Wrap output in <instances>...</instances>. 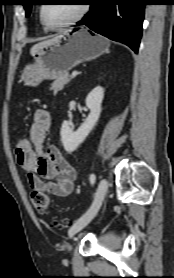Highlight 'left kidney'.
<instances>
[{
    "label": "left kidney",
    "instance_id": "5707ae66",
    "mask_svg": "<svg viewBox=\"0 0 174 278\" xmlns=\"http://www.w3.org/2000/svg\"><path fill=\"white\" fill-rule=\"evenodd\" d=\"M104 98V89L101 86L95 87L86 97V106L90 113L85 122L73 131L71 124L68 121L62 123L60 135L63 147L67 152H73L86 139L93 130L99 120L102 108L101 104Z\"/></svg>",
    "mask_w": 174,
    "mask_h": 278
}]
</instances>
